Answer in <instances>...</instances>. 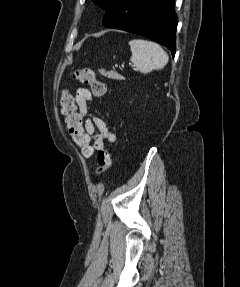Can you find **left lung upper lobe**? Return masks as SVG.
<instances>
[{
    "label": "left lung upper lobe",
    "instance_id": "left-lung-upper-lobe-1",
    "mask_svg": "<svg viewBox=\"0 0 240 287\" xmlns=\"http://www.w3.org/2000/svg\"><path fill=\"white\" fill-rule=\"evenodd\" d=\"M95 2L98 6H100L102 9L105 10L107 4L109 3L110 0H92Z\"/></svg>",
    "mask_w": 240,
    "mask_h": 287
}]
</instances>
